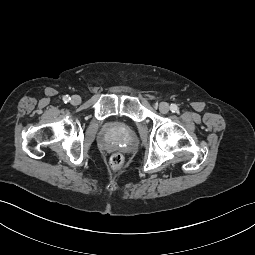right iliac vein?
<instances>
[{
  "label": "right iliac vein",
  "mask_w": 255,
  "mask_h": 255,
  "mask_svg": "<svg viewBox=\"0 0 255 255\" xmlns=\"http://www.w3.org/2000/svg\"><path fill=\"white\" fill-rule=\"evenodd\" d=\"M81 102V98L78 95H74L71 98V104L72 105H78Z\"/></svg>",
  "instance_id": "right-iliac-vein-1"
}]
</instances>
